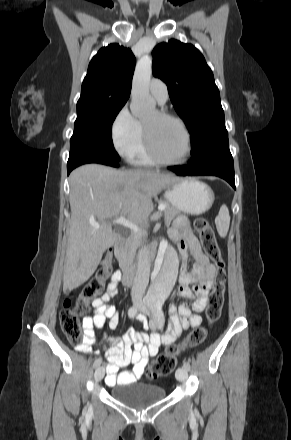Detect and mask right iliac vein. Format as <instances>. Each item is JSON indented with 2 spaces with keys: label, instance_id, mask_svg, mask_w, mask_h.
Masks as SVG:
<instances>
[{
  "label": "right iliac vein",
  "instance_id": "63e3f726",
  "mask_svg": "<svg viewBox=\"0 0 291 440\" xmlns=\"http://www.w3.org/2000/svg\"><path fill=\"white\" fill-rule=\"evenodd\" d=\"M104 374H105V368H104L103 366L98 367V368L95 370V375H94L95 380H96L97 382H98V381H101V380L103 379V377H104Z\"/></svg>",
  "mask_w": 291,
  "mask_h": 440
}]
</instances>
